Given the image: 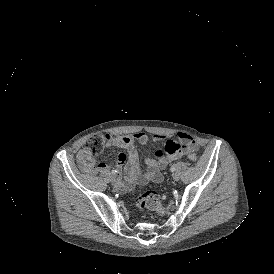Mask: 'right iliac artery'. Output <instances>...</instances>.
Instances as JSON below:
<instances>
[{
    "instance_id": "1",
    "label": "right iliac artery",
    "mask_w": 274,
    "mask_h": 274,
    "mask_svg": "<svg viewBox=\"0 0 274 274\" xmlns=\"http://www.w3.org/2000/svg\"><path fill=\"white\" fill-rule=\"evenodd\" d=\"M116 173H117V171L113 169V170H112V174L115 175Z\"/></svg>"
}]
</instances>
